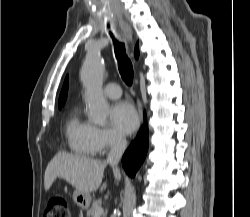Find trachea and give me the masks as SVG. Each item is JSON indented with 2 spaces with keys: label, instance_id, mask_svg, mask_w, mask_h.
Returning a JSON list of instances; mask_svg holds the SVG:
<instances>
[{
  "label": "trachea",
  "instance_id": "obj_1",
  "mask_svg": "<svg viewBox=\"0 0 250 217\" xmlns=\"http://www.w3.org/2000/svg\"><path fill=\"white\" fill-rule=\"evenodd\" d=\"M110 35L113 38L115 56L118 61L120 75L127 85H132L134 76L133 66L130 59L126 55L124 43L117 41L111 32Z\"/></svg>",
  "mask_w": 250,
  "mask_h": 217
}]
</instances>
